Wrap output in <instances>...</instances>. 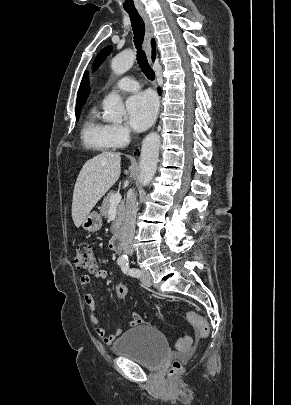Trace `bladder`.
I'll use <instances>...</instances> for the list:
<instances>
[{"mask_svg":"<svg viewBox=\"0 0 291 405\" xmlns=\"http://www.w3.org/2000/svg\"><path fill=\"white\" fill-rule=\"evenodd\" d=\"M113 351L145 368L156 369L165 361L170 349L160 330L151 325H140L126 331L114 343Z\"/></svg>","mask_w":291,"mask_h":405,"instance_id":"31cf9c89","label":"bladder"}]
</instances>
